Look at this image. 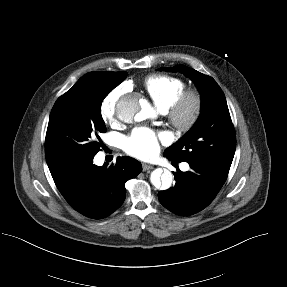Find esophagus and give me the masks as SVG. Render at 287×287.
<instances>
[{"instance_id": "1", "label": "esophagus", "mask_w": 287, "mask_h": 287, "mask_svg": "<svg viewBox=\"0 0 287 287\" xmlns=\"http://www.w3.org/2000/svg\"><path fill=\"white\" fill-rule=\"evenodd\" d=\"M153 168L154 167L152 165H149V164H146V163L142 165L143 171H148V170H151Z\"/></svg>"}]
</instances>
